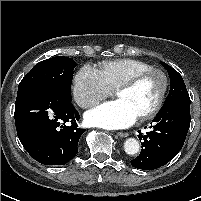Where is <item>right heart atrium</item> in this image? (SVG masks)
Returning a JSON list of instances; mask_svg holds the SVG:
<instances>
[{
	"label": "right heart atrium",
	"instance_id": "obj_1",
	"mask_svg": "<svg viewBox=\"0 0 201 201\" xmlns=\"http://www.w3.org/2000/svg\"><path fill=\"white\" fill-rule=\"evenodd\" d=\"M111 92L99 70L90 65L83 66L74 76L73 97L83 109L94 107Z\"/></svg>",
	"mask_w": 201,
	"mask_h": 201
}]
</instances>
